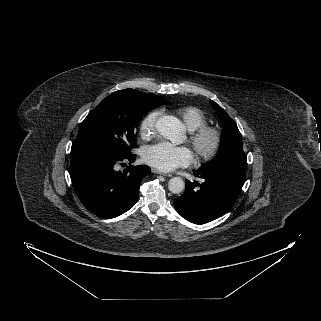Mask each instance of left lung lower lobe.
<instances>
[{"mask_svg":"<svg viewBox=\"0 0 321 321\" xmlns=\"http://www.w3.org/2000/svg\"><path fill=\"white\" fill-rule=\"evenodd\" d=\"M245 159L214 163L194 172L202 182H186L176 198L177 212L192 223L204 224L227 213L237 200L246 178Z\"/></svg>","mask_w":321,"mask_h":321,"instance_id":"0a47b994","label":"left lung lower lobe"}]
</instances>
